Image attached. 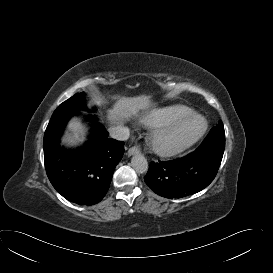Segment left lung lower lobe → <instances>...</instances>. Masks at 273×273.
<instances>
[{
  "label": "left lung lower lobe",
  "instance_id": "left-lung-lower-lobe-1",
  "mask_svg": "<svg viewBox=\"0 0 273 273\" xmlns=\"http://www.w3.org/2000/svg\"><path fill=\"white\" fill-rule=\"evenodd\" d=\"M221 160L196 149L180 159L151 162L144 180L160 196L182 198L206 188L215 178Z\"/></svg>",
  "mask_w": 273,
  "mask_h": 273
}]
</instances>
